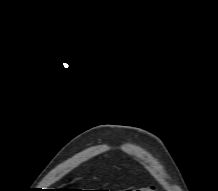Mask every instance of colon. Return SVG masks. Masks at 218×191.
Returning a JSON list of instances; mask_svg holds the SVG:
<instances>
[{
  "label": "colon",
  "instance_id": "5ec220e1",
  "mask_svg": "<svg viewBox=\"0 0 218 191\" xmlns=\"http://www.w3.org/2000/svg\"><path fill=\"white\" fill-rule=\"evenodd\" d=\"M121 191H155V189L153 187H146V188H140V189L121 190Z\"/></svg>",
  "mask_w": 218,
  "mask_h": 191
}]
</instances>
